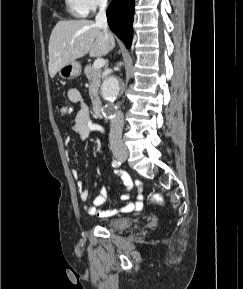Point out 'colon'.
<instances>
[{"instance_id":"obj_1","label":"colon","mask_w":243,"mask_h":289,"mask_svg":"<svg viewBox=\"0 0 243 289\" xmlns=\"http://www.w3.org/2000/svg\"><path fill=\"white\" fill-rule=\"evenodd\" d=\"M56 109H57V113L60 117H65V116L70 114V108L65 104L57 105ZM151 201L154 203L160 204L163 202V198L159 194H154L151 198Z\"/></svg>"}]
</instances>
